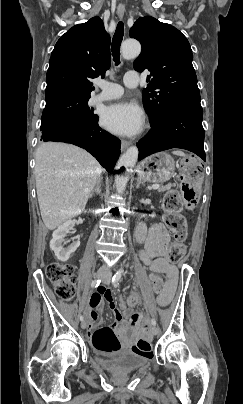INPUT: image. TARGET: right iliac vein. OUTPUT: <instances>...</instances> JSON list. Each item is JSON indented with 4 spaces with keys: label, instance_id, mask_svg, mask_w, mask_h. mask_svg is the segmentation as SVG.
<instances>
[{
    "label": "right iliac vein",
    "instance_id": "1",
    "mask_svg": "<svg viewBox=\"0 0 243 404\" xmlns=\"http://www.w3.org/2000/svg\"><path fill=\"white\" fill-rule=\"evenodd\" d=\"M104 276H105L104 272L99 271V272L96 273L95 278H96V279H101V278H103ZM81 328H82V329H85V328H86V322H85L84 320L81 322Z\"/></svg>",
    "mask_w": 243,
    "mask_h": 404
}]
</instances>
